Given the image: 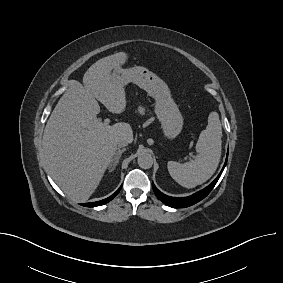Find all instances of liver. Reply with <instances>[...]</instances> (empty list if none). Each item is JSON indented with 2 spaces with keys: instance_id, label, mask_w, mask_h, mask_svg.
<instances>
[{
  "instance_id": "obj_1",
  "label": "liver",
  "mask_w": 283,
  "mask_h": 283,
  "mask_svg": "<svg viewBox=\"0 0 283 283\" xmlns=\"http://www.w3.org/2000/svg\"><path fill=\"white\" fill-rule=\"evenodd\" d=\"M127 59L125 52L107 56L85 72L83 85L71 81L45 126L42 145L48 171L75 202H84L94 193L116 154L117 141H133L128 123H96L97 100L112 113L126 108L124 83L112 71Z\"/></svg>"
}]
</instances>
